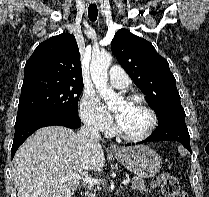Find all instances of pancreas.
I'll use <instances>...</instances> for the list:
<instances>
[{
  "label": "pancreas",
  "mask_w": 209,
  "mask_h": 197,
  "mask_svg": "<svg viewBox=\"0 0 209 197\" xmlns=\"http://www.w3.org/2000/svg\"><path fill=\"white\" fill-rule=\"evenodd\" d=\"M132 187H133V189L138 190L141 193L148 191V189L146 188V186L144 184V180L139 177H133ZM88 188H89V190H93V185H90ZM97 189L99 190L100 188H97Z\"/></svg>",
  "instance_id": "1"
}]
</instances>
